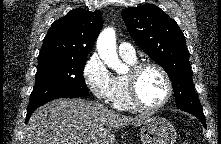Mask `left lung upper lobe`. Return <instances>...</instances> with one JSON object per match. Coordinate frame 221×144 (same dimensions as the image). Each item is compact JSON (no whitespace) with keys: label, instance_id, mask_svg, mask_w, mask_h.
<instances>
[{"label":"left lung upper lobe","instance_id":"1","mask_svg":"<svg viewBox=\"0 0 221 144\" xmlns=\"http://www.w3.org/2000/svg\"><path fill=\"white\" fill-rule=\"evenodd\" d=\"M121 13L131 37L169 75L177 108L203 113L193 87L185 37L177 23L151 4L125 8Z\"/></svg>","mask_w":221,"mask_h":144}]
</instances>
